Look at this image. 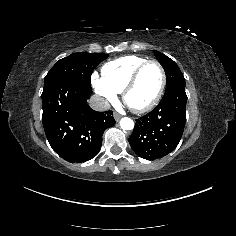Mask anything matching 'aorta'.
<instances>
[{
    "label": "aorta",
    "mask_w": 236,
    "mask_h": 236,
    "mask_svg": "<svg viewBox=\"0 0 236 236\" xmlns=\"http://www.w3.org/2000/svg\"><path fill=\"white\" fill-rule=\"evenodd\" d=\"M119 124H120V127L124 130H130L134 127L133 120L129 117L121 118Z\"/></svg>",
    "instance_id": "aorta-1"
}]
</instances>
